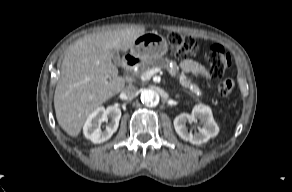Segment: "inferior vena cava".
Here are the masks:
<instances>
[{"instance_id":"602c4592","label":"inferior vena cava","mask_w":292,"mask_h":192,"mask_svg":"<svg viewBox=\"0 0 292 192\" xmlns=\"http://www.w3.org/2000/svg\"><path fill=\"white\" fill-rule=\"evenodd\" d=\"M138 92V88L134 85H128L122 90V95L125 99L133 98Z\"/></svg>"}]
</instances>
